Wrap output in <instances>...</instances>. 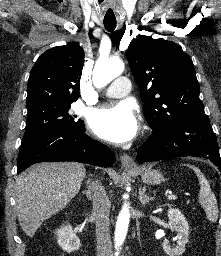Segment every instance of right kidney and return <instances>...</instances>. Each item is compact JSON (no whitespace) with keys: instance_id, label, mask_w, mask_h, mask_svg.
I'll list each match as a JSON object with an SVG mask.
<instances>
[{"instance_id":"1","label":"right kidney","mask_w":221,"mask_h":256,"mask_svg":"<svg viewBox=\"0 0 221 256\" xmlns=\"http://www.w3.org/2000/svg\"><path fill=\"white\" fill-rule=\"evenodd\" d=\"M57 243L66 252L71 253L80 247V239L72 230L71 225H63L57 231Z\"/></svg>"}]
</instances>
